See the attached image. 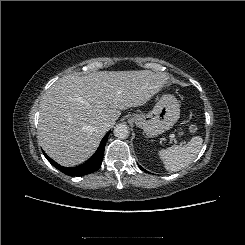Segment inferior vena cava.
I'll return each mask as SVG.
<instances>
[{
	"instance_id": "1",
	"label": "inferior vena cava",
	"mask_w": 245,
	"mask_h": 245,
	"mask_svg": "<svg viewBox=\"0 0 245 245\" xmlns=\"http://www.w3.org/2000/svg\"><path fill=\"white\" fill-rule=\"evenodd\" d=\"M114 124H115V121L109 119V120H106V121L102 122L101 128H102L103 130H105V131H108L111 127L114 126Z\"/></svg>"
}]
</instances>
